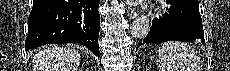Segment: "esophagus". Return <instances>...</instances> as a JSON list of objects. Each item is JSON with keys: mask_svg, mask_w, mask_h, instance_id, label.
Masks as SVG:
<instances>
[{"mask_svg": "<svg viewBox=\"0 0 230 71\" xmlns=\"http://www.w3.org/2000/svg\"><path fill=\"white\" fill-rule=\"evenodd\" d=\"M127 15L130 19H134L137 16V10L133 6H128Z\"/></svg>", "mask_w": 230, "mask_h": 71, "instance_id": "obj_1", "label": "esophagus"}]
</instances>
